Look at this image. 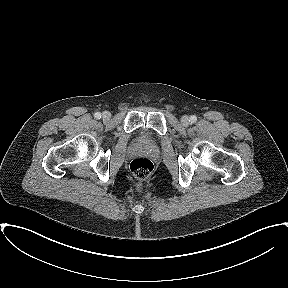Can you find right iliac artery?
Returning <instances> with one entry per match:
<instances>
[{
    "mask_svg": "<svg viewBox=\"0 0 288 288\" xmlns=\"http://www.w3.org/2000/svg\"><path fill=\"white\" fill-rule=\"evenodd\" d=\"M94 117H95L96 119H100V118H101V113H99V112L95 113V114H94Z\"/></svg>",
    "mask_w": 288,
    "mask_h": 288,
    "instance_id": "1",
    "label": "right iliac artery"
}]
</instances>
